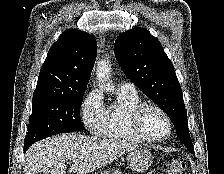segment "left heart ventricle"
Wrapping results in <instances>:
<instances>
[{"label": "left heart ventricle", "mask_w": 224, "mask_h": 174, "mask_svg": "<svg viewBox=\"0 0 224 174\" xmlns=\"http://www.w3.org/2000/svg\"><path fill=\"white\" fill-rule=\"evenodd\" d=\"M143 128L152 137H162L167 133V122L155 110H148L143 117Z\"/></svg>", "instance_id": "b2bd125f"}]
</instances>
